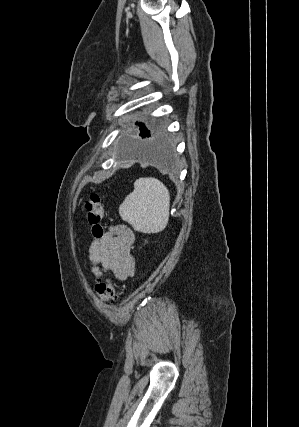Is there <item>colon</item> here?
<instances>
[{"label":"colon","instance_id":"colon-1","mask_svg":"<svg viewBox=\"0 0 299 427\" xmlns=\"http://www.w3.org/2000/svg\"><path fill=\"white\" fill-rule=\"evenodd\" d=\"M86 219L89 233L92 237L100 239L103 234L102 220L104 217V208L100 196L91 193L85 203ZM95 292L98 298L106 302H115L118 299L119 291L110 278L99 280L95 285Z\"/></svg>","mask_w":299,"mask_h":427}]
</instances>
